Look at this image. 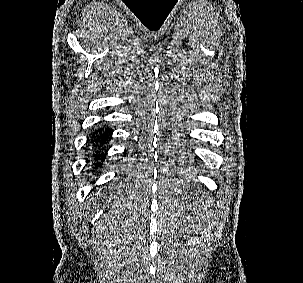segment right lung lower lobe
Returning a JSON list of instances; mask_svg holds the SVG:
<instances>
[{
	"instance_id": "obj_1",
	"label": "right lung lower lobe",
	"mask_w": 303,
	"mask_h": 283,
	"mask_svg": "<svg viewBox=\"0 0 303 283\" xmlns=\"http://www.w3.org/2000/svg\"><path fill=\"white\" fill-rule=\"evenodd\" d=\"M111 139V135L108 129H99L98 132L95 134L93 141L95 150L94 153V162L92 163L95 167L100 165L105 160V154L103 149H101L104 144Z\"/></svg>"
}]
</instances>
